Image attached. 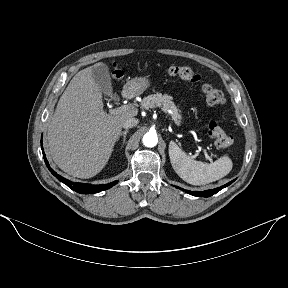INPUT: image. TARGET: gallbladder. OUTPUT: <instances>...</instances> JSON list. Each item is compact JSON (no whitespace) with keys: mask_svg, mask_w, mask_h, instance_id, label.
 Segmentation results:
<instances>
[{"mask_svg":"<svg viewBox=\"0 0 288 288\" xmlns=\"http://www.w3.org/2000/svg\"><path fill=\"white\" fill-rule=\"evenodd\" d=\"M92 75L99 89L112 90L110 73L107 65L100 64L92 68Z\"/></svg>","mask_w":288,"mask_h":288,"instance_id":"gallbladder-1","label":"gallbladder"}]
</instances>
